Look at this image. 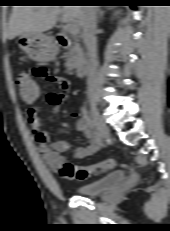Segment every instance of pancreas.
I'll return each instance as SVG.
<instances>
[{
	"instance_id": "cf45deb5",
	"label": "pancreas",
	"mask_w": 170,
	"mask_h": 231,
	"mask_svg": "<svg viewBox=\"0 0 170 231\" xmlns=\"http://www.w3.org/2000/svg\"><path fill=\"white\" fill-rule=\"evenodd\" d=\"M82 55V50L78 43L74 42L70 50L65 54L66 63L65 66L68 70H72L77 67Z\"/></svg>"
}]
</instances>
